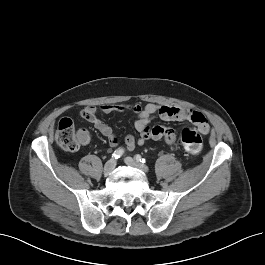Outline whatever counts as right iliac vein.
<instances>
[{
	"mask_svg": "<svg viewBox=\"0 0 265 265\" xmlns=\"http://www.w3.org/2000/svg\"><path fill=\"white\" fill-rule=\"evenodd\" d=\"M116 161L115 160H109L103 168V173L105 176H108L115 168Z\"/></svg>",
	"mask_w": 265,
	"mask_h": 265,
	"instance_id": "obj_1",
	"label": "right iliac vein"
}]
</instances>
